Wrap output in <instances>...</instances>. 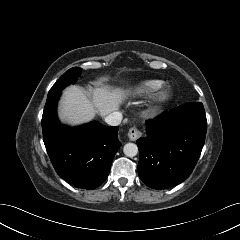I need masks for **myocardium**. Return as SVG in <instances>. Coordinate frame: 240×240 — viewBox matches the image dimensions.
Instances as JSON below:
<instances>
[{"label": "myocardium", "instance_id": "myocardium-1", "mask_svg": "<svg viewBox=\"0 0 240 240\" xmlns=\"http://www.w3.org/2000/svg\"><path fill=\"white\" fill-rule=\"evenodd\" d=\"M172 99V92L167 89L157 91L150 100V107L153 110H160L165 107Z\"/></svg>", "mask_w": 240, "mask_h": 240}]
</instances>
